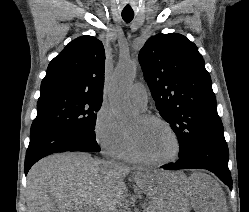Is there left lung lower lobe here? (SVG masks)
Instances as JSON below:
<instances>
[{
  "label": "left lung lower lobe",
  "mask_w": 249,
  "mask_h": 212,
  "mask_svg": "<svg viewBox=\"0 0 249 212\" xmlns=\"http://www.w3.org/2000/svg\"><path fill=\"white\" fill-rule=\"evenodd\" d=\"M229 151L224 134L202 137L172 164L161 166L167 170L206 169L213 172L230 189L231 174L228 168Z\"/></svg>",
  "instance_id": "left-lung-lower-lobe-1"
}]
</instances>
